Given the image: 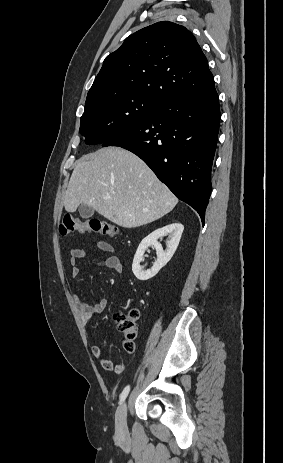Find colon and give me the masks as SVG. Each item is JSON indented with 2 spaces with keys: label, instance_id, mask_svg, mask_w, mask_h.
<instances>
[{
  "label": "colon",
  "instance_id": "colon-1",
  "mask_svg": "<svg viewBox=\"0 0 283 463\" xmlns=\"http://www.w3.org/2000/svg\"><path fill=\"white\" fill-rule=\"evenodd\" d=\"M60 232L62 235L73 232H94L113 238L118 235V228L100 218H79L67 214L63 216L60 224ZM139 316L140 312L135 308L128 310L126 313H117L114 316L118 329L123 336V346L128 353L134 350L133 341L138 332L137 322Z\"/></svg>",
  "mask_w": 283,
  "mask_h": 463
}]
</instances>
